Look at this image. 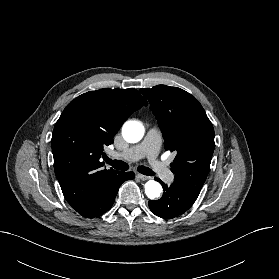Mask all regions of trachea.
I'll return each mask as SVG.
<instances>
[{"mask_svg": "<svg viewBox=\"0 0 279 279\" xmlns=\"http://www.w3.org/2000/svg\"><path fill=\"white\" fill-rule=\"evenodd\" d=\"M106 162L117 170L126 171L129 168L128 164L121 160H111V159L107 158ZM138 171L144 175H148V176L154 175V172L151 169H149L148 167L139 166Z\"/></svg>", "mask_w": 279, "mask_h": 279, "instance_id": "trachea-1", "label": "trachea"}]
</instances>
